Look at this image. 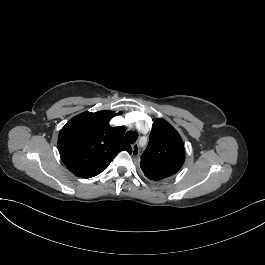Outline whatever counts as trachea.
Here are the masks:
<instances>
[{
  "label": "trachea",
  "mask_w": 265,
  "mask_h": 265,
  "mask_svg": "<svg viewBox=\"0 0 265 265\" xmlns=\"http://www.w3.org/2000/svg\"><path fill=\"white\" fill-rule=\"evenodd\" d=\"M137 138H138V133L135 131H128L126 133V140L130 144L134 143L137 140Z\"/></svg>",
  "instance_id": "trachea-1"
}]
</instances>
